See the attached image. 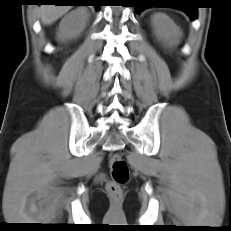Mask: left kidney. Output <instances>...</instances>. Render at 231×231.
Here are the masks:
<instances>
[{
	"label": "left kidney",
	"mask_w": 231,
	"mask_h": 231,
	"mask_svg": "<svg viewBox=\"0 0 231 231\" xmlns=\"http://www.w3.org/2000/svg\"><path fill=\"white\" fill-rule=\"evenodd\" d=\"M152 25L156 37L168 45L178 44L182 32L174 21L164 13H156L152 16Z\"/></svg>",
	"instance_id": "5707ae66"
}]
</instances>
